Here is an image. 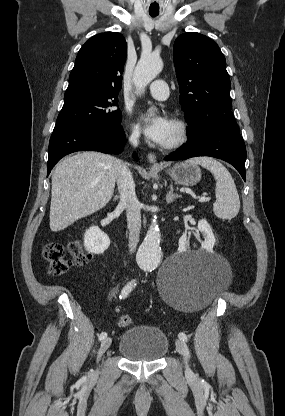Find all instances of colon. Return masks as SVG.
<instances>
[{
    "mask_svg": "<svg viewBox=\"0 0 285 416\" xmlns=\"http://www.w3.org/2000/svg\"><path fill=\"white\" fill-rule=\"evenodd\" d=\"M69 253L71 258H67ZM44 256L50 264V273L55 276L64 274L71 264L81 265L87 262L88 256L83 253L79 243L72 242L68 246L59 243H50L44 248ZM117 322L120 326H127L131 318L125 314L117 315Z\"/></svg>",
    "mask_w": 285,
    "mask_h": 416,
    "instance_id": "5ec220e1",
    "label": "colon"
}]
</instances>
